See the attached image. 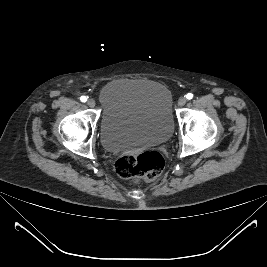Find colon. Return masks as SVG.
<instances>
[{"label": "colon", "mask_w": 267, "mask_h": 267, "mask_svg": "<svg viewBox=\"0 0 267 267\" xmlns=\"http://www.w3.org/2000/svg\"><path fill=\"white\" fill-rule=\"evenodd\" d=\"M165 165L163 156L155 151L137 155H124L115 162V172L123 179L152 181L160 175Z\"/></svg>", "instance_id": "1"}]
</instances>
